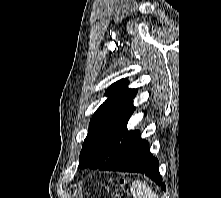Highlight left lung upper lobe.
Returning <instances> with one entry per match:
<instances>
[{
    "label": "left lung upper lobe",
    "instance_id": "1",
    "mask_svg": "<svg viewBox=\"0 0 221 198\" xmlns=\"http://www.w3.org/2000/svg\"><path fill=\"white\" fill-rule=\"evenodd\" d=\"M122 79L106 91L108 99L93 115L87 137L79 156V168L99 169L135 131H128L127 122L133 114V98L137 89H128Z\"/></svg>",
    "mask_w": 221,
    "mask_h": 198
}]
</instances>
